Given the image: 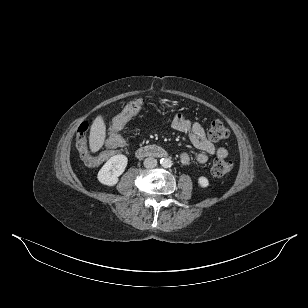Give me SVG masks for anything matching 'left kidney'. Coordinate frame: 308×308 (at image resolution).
Wrapping results in <instances>:
<instances>
[{"label":"left kidney","mask_w":308,"mask_h":308,"mask_svg":"<svg viewBox=\"0 0 308 308\" xmlns=\"http://www.w3.org/2000/svg\"><path fill=\"white\" fill-rule=\"evenodd\" d=\"M198 184L202 187V188H207L209 186V180L204 177V176H200L198 178Z\"/></svg>","instance_id":"obj_1"}]
</instances>
